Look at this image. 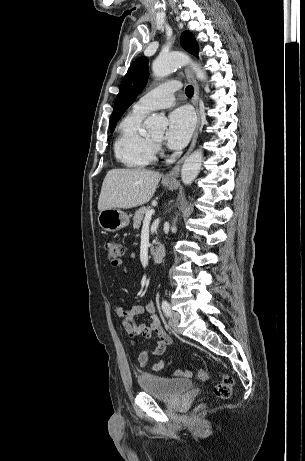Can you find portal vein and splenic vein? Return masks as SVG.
Returning a JSON list of instances; mask_svg holds the SVG:
<instances>
[{"label": "portal vein and splenic vein", "instance_id": "1", "mask_svg": "<svg viewBox=\"0 0 305 461\" xmlns=\"http://www.w3.org/2000/svg\"><path fill=\"white\" fill-rule=\"evenodd\" d=\"M154 212H155L154 210H150V211H148L146 213L144 221H143L144 224H149L150 223V221L152 219V215L154 214Z\"/></svg>", "mask_w": 305, "mask_h": 461}]
</instances>
